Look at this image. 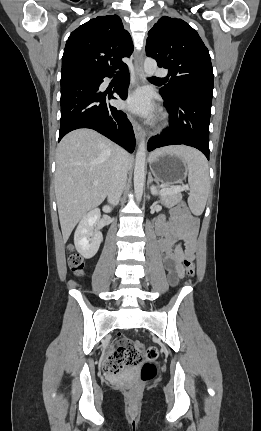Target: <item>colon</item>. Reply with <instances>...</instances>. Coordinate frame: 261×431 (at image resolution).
Here are the masks:
<instances>
[{
	"label": "colon",
	"mask_w": 261,
	"mask_h": 431,
	"mask_svg": "<svg viewBox=\"0 0 261 431\" xmlns=\"http://www.w3.org/2000/svg\"><path fill=\"white\" fill-rule=\"evenodd\" d=\"M180 207L186 208V203L181 202ZM68 255V264L70 269L76 275H82L84 272V259L77 252L70 249ZM184 267L189 276L194 275V263L192 258L187 257L184 260ZM141 346L125 335L118 336L113 342V350L103 363V370L107 375L116 376L127 366H134L145 361L141 369V380L146 382L151 380L156 373L154 361L158 358L159 350L156 347H148L141 350ZM140 385L131 388L132 393L140 390Z\"/></svg>",
	"instance_id": "obj_1"
}]
</instances>
